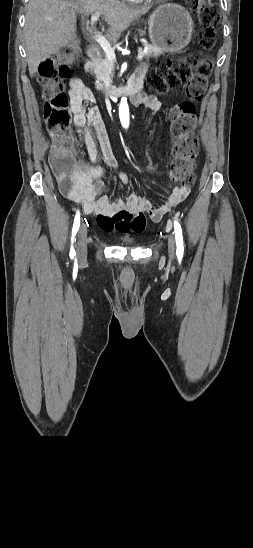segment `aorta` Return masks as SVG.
I'll return each instance as SVG.
<instances>
[{
	"label": "aorta",
	"mask_w": 253,
	"mask_h": 548,
	"mask_svg": "<svg viewBox=\"0 0 253 548\" xmlns=\"http://www.w3.org/2000/svg\"><path fill=\"white\" fill-rule=\"evenodd\" d=\"M119 113H120V118H121L122 123L124 125H126L128 123V120H129V110H128V104H127V99L126 98L121 99V103H120V107H119Z\"/></svg>",
	"instance_id": "obj_1"
}]
</instances>
